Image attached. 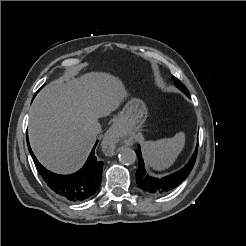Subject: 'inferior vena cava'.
<instances>
[{
    "instance_id": "1",
    "label": "inferior vena cava",
    "mask_w": 246,
    "mask_h": 246,
    "mask_svg": "<svg viewBox=\"0 0 246 246\" xmlns=\"http://www.w3.org/2000/svg\"><path fill=\"white\" fill-rule=\"evenodd\" d=\"M90 131L94 135H97V134H99L101 132V125L98 122V120L95 119V120L91 121V123H90Z\"/></svg>"
}]
</instances>
